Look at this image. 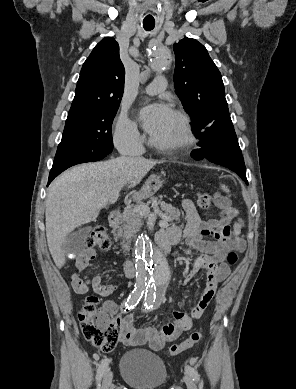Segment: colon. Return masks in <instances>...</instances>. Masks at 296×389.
<instances>
[{
  "label": "colon",
  "mask_w": 296,
  "mask_h": 389,
  "mask_svg": "<svg viewBox=\"0 0 296 389\" xmlns=\"http://www.w3.org/2000/svg\"><path fill=\"white\" fill-rule=\"evenodd\" d=\"M198 206L203 209H209L212 204V196L203 192L198 195ZM86 246L107 250L110 246V240L104 227H95L85 238ZM227 262L234 265L237 262V254L233 251L227 255ZM79 321L81 330L88 342L104 352L112 351L120 337V324L111 317V314L104 306L98 305V298L88 296L79 312ZM202 339V333L192 332L184 341L174 344L169 348V354L176 356L185 350L192 348Z\"/></svg>",
  "instance_id": "1"
}]
</instances>
